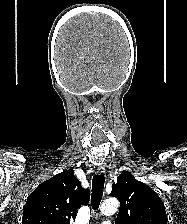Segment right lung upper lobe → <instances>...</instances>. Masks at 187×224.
<instances>
[{
    "label": "right lung upper lobe",
    "instance_id": "1",
    "mask_svg": "<svg viewBox=\"0 0 187 224\" xmlns=\"http://www.w3.org/2000/svg\"><path fill=\"white\" fill-rule=\"evenodd\" d=\"M90 191L82 188L72 170L41 183L24 206L22 224H71L77 209L89 202Z\"/></svg>",
    "mask_w": 187,
    "mask_h": 224
}]
</instances>
